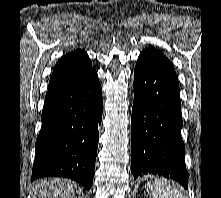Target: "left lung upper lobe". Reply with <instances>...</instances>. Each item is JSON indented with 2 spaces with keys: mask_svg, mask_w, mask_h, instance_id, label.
<instances>
[{
  "mask_svg": "<svg viewBox=\"0 0 221 198\" xmlns=\"http://www.w3.org/2000/svg\"><path fill=\"white\" fill-rule=\"evenodd\" d=\"M142 53L151 54L153 56H156L160 58L164 63H166L171 69L174 70L173 64L170 62V60L159 50H156L154 48H147L142 51ZM175 71V70H174Z\"/></svg>",
  "mask_w": 221,
  "mask_h": 198,
  "instance_id": "left-lung-upper-lobe-1",
  "label": "left lung upper lobe"
}]
</instances>
